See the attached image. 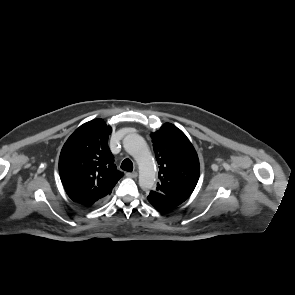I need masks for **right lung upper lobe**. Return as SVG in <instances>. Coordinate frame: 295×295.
Segmentation results:
<instances>
[{
	"instance_id": "obj_1",
	"label": "right lung upper lobe",
	"mask_w": 295,
	"mask_h": 295,
	"mask_svg": "<svg viewBox=\"0 0 295 295\" xmlns=\"http://www.w3.org/2000/svg\"><path fill=\"white\" fill-rule=\"evenodd\" d=\"M111 132L102 119H94L78 127L64 144L59 173L74 202L92 206L106 197L123 176L107 144Z\"/></svg>"
}]
</instances>
